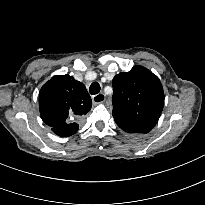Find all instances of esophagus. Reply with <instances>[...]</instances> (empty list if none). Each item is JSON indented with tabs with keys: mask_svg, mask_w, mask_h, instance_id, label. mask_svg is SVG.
<instances>
[{
	"mask_svg": "<svg viewBox=\"0 0 205 205\" xmlns=\"http://www.w3.org/2000/svg\"><path fill=\"white\" fill-rule=\"evenodd\" d=\"M104 100H105V95L103 93H99V94L92 96V101L95 104L102 103L104 102Z\"/></svg>",
	"mask_w": 205,
	"mask_h": 205,
	"instance_id": "esophagus-1",
	"label": "esophagus"
}]
</instances>
